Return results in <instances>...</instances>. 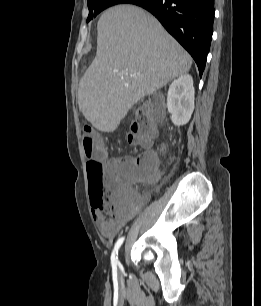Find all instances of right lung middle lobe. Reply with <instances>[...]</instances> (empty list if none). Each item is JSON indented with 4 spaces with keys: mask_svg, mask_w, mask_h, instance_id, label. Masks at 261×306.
I'll use <instances>...</instances> for the list:
<instances>
[{
    "mask_svg": "<svg viewBox=\"0 0 261 306\" xmlns=\"http://www.w3.org/2000/svg\"><path fill=\"white\" fill-rule=\"evenodd\" d=\"M132 0H88L87 5L89 8V15L87 22H89L93 17L97 16L104 9L120 4V3H130Z\"/></svg>",
    "mask_w": 261,
    "mask_h": 306,
    "instance_id": "right-lung-middle-lobe-1",
    "label": "right lung middle lobe"
}]
</instances>
